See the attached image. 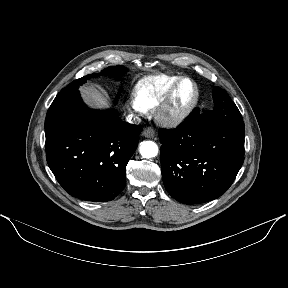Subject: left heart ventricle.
<instances>
[{"label":"left heart ventricle","instance_id":"1","mask_svg":"<svg viewBox=\"0 0 288 288\" xmlns=\"http://www.w3.org/2000/svg\"><path fill=\"white\" fill-rule=\"evenodd\" d=\"M192 94H193V88L191 84L189 82L183 83L177 93L174 108L178 109L183 105H185L191 98Z\"/></svg>","mask_w":288,"mask_h":288}]
</instances>
